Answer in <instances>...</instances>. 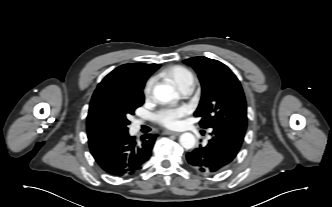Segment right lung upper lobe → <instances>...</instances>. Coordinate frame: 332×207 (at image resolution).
Masks as SVG:
<instances>
[{"label":"right lung upper lobe","mask_w":332,"mask_h":207,"mask_svg":"<svg viewBox=\"0 0 332 207\" xmlns=\"http://www.w3.org/2000/svg\"><path fill=\"white\" fill-rule=\"evenodd\" d=\"M159 67V64L143 63L124 64L117 67L111 73H109L97 86V89L95 90L90 103V109L93 108L104 97L117 89H143L146 80ZM87 132L89 140L102 136L101 134L91 129L88 121Z\"/></svg>","instance_id":"right-lung-upper-lobe-1"}]
</instances>
